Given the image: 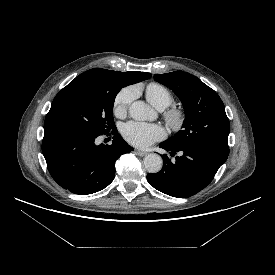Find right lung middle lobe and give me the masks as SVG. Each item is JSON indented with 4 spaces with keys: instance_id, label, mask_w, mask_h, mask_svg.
<instances>
[{
    "instance_id": "dd1d6c3e",
    "label": "right lung middle lobe",
    "mask_w": 275,
    "mask_h": 275,
    "mask_svg": "<svg viewBox=\"0 0 275 275\" xmlns=\"http://www.w3.org/2000/svg\"><path fill=\"white\" fill-rule=\"evenodd\" d=\"M121 88L111 80L69 83L54 98L44 132L74 131L99 136L115 130L113 104Z\"/></svg>"
}]
</instances>
